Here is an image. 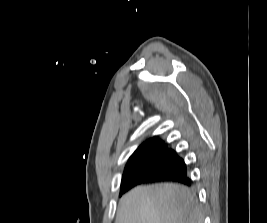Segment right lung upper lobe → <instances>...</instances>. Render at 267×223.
<instances>
[{
    "mask_svg": "<svg viewBox=\"0 0 267 223\" xmlns=\"http://www.w3.org/2000/svg\"><path fill=\"white\" fill-rule=\"evenodd\" d=\"M164 150H170L166 148L165 143L156 137L150 138L143 142L138 149L130 157L127 165H131L137 162L148 160L156 156L159 152Z\"/></svg>",
    "mask_w": 267,
    "mask_h": 223,
    "instance_id": "obj_1",
    "label": "right lung upper lobe"
}]
</instances>
